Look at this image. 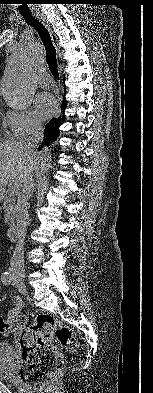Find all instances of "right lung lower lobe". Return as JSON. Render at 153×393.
Listing matches in <instances>:
<instances>
[{
  "label": "right lung lower lobe",
  "instance_id": "obj_1",
  "mask_svg": "<svg viewBox=\"0 0 153 393\" xmlns=\"http://www.w3.org/2000/svg\"><path fill=\"white\" fill-rule=\"evenodd\" d=\"M65 93L66 91L64 92V95ZM66 106H67V102L64 98L61 104L63 115L51 119L50 122L46 125V128L44 129V142L42 143V145L43 144L49 145L50 143H53V141L59 136V132H60L59 127L65 121L64 110L66 109Z\"/></svg>",
  "mask_w": 153,
  "mask_h": 393
}]
</instances>
